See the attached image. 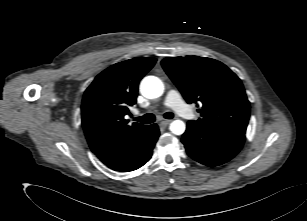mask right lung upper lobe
Masks as SVG:
<instances>
[{"label":"right lung upper lobe","instance_id":"cb5924a9","mask_svg":"<svg viewBox=\"0 0 307 221\" xmlns=\"http://www.w3.org/2000/svg\"><path fill=\"white\" fill-rule=\"evenodd\" d=\"M155 58L137 57L110 66L86 89L82 125L92 152L106 162L138 137L147 126H128L124 116L136 103L138 85Z\"/></svg>","mask_w":307,"mask_h":221}]
</instances>
